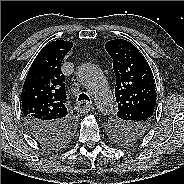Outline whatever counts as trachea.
Segmentation results:
<instances>
[{"mask_svg": "<svg viewBox=\"0 0 184 184\" xmlns=\"http://www.w3.org/2000/svg\"><path fill=\"white\" fill-rule=\"evenodd\" d=\"M78 101H88V102H90V99H89L88 95H86L85 93H81L78 97Z\"/></svg>", "mask_w": 184, "mask_h": 184, "instance_id": "1", "label": "trachea"}]
</instances>
